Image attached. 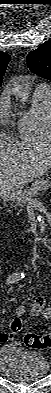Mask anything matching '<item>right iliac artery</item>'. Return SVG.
Returning <instances> with one entry per match:
<instances>
[{
    "instance_id": "right-iliac-artery-1",
    "label": "right iliac artery",
    "mask_w": 51,
    "mask_h": 393,
    "mask_svg": "<svg viewBox=\"0 0 51 393\" xmlns=\"http://www.w3.org/2000/svg\"><path fill=\"white\" fill-rule=\"evenodd\" d=\"M25 277L24 272H20V273H15L13 275H11L8 279H7V283H14L17 282L21 279H23Z\"/></svg>"
}]
</instances>
